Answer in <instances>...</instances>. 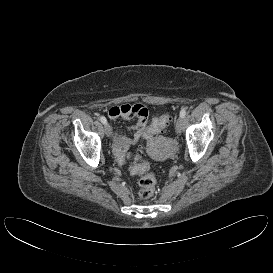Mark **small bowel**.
I'll return each instance as SVG.
<instances>
[{
	"mask_svg": "<svg viewBox=\"0 0 273 273\" xmlns=\"http://www.w3.org/2000/svg\"><path fill=\"white\" fill-rule=\"evenodd\" d=\"M108 115L112 120L119 118L132 119L136 118L137 122L130 129L132 136L124 135L116 132L113 137V152L116 160L122 164L126 161L127 151L130 146L137 144L144 136V129L148 120V108L142 104H123L120 106H112L108 110Z\"/></svg>",
	"mask_w": 273,
	"mask_h": 273,
	"instance_id": "obj_1",
	"label": "small bowel"
}]
</instances>
